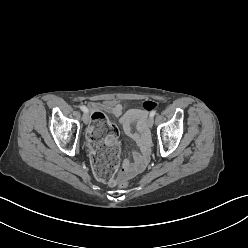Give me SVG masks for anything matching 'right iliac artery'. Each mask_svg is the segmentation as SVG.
Masks as SVG:
<instances>
[{
	"label": "right iliac artery",
	"instance_id": "1",
	"mask_svg": "<svg viewBox=\"0 0 248 248\" xmlns=\"http://www.w3.org/2000/svg\"><path fill=\"white\" fill-rule=\"evenodd\" d=\"M80 109L83 111V112H88V109L85 107V106H81Z\"/></svg>",
	"mask_w": 248,
	"mask_h": 248
}]
</instances>
